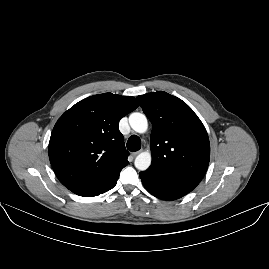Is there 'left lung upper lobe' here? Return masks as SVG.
Listing matches in <instances>:
<instances>
[{"label": "left lung upper lobe", "mask_w": 269, "mask_h": 269, "mask_svg": "<svg viewBox=\"0 0 269 269\" xmlns=\"http://www.w3.org/2000/svg\"><path fill=\"white\" fill-rule=\"evenodd\" d=\"M152 123L151 172L199 182L210 159L204 125L179 98L163 91L137 97Z\"/></svg>", "instance_id": "obj_1"}]
</instances>
